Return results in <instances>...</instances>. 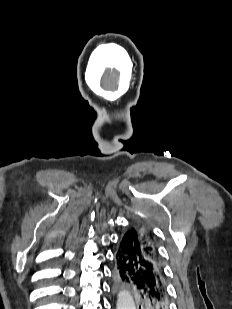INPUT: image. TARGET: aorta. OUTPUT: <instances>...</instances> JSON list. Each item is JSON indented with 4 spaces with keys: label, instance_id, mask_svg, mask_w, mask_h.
<instances>
[{
    "label": "aorta",
    "instance_id": "1",
    "mask_svg": "<svg viewBox=\"0 0 232 309\" xmlns=\"http://www.w3.org/2000/svg\"><path fill=\"white\" fill-rule=\"evenodd\" d=\"M117 309H136L135 302L131 294L123 290L117 295Z\"/></svg>",
    "mask_w": 232,
    "mask_h": 309
}]
</instances>
